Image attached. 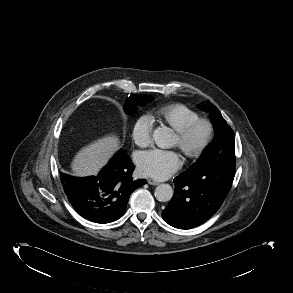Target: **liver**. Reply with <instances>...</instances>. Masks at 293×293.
<instances>
[{
    "instance_id": "obj_1",
    "label": "liver",
    "mask_w": 293,
    "mask_h": 293,
    "mask_svg": "<svg viewBox=\"0 0 293 293\" xmlns=\"http://www.w3.org/2000/svg\"><path fill=\"white\" fill-rule=\"evenodd\" d=\"M119 147L120 139L116 134L106 135L83 147L72 161L73 175H96Z\"/></svg>"
}]
</instances>
